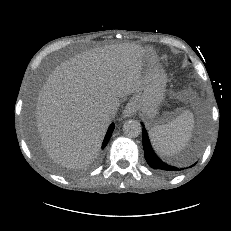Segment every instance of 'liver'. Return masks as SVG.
I'll list each match as a JSON object with an SVG mask.
<instances>
[{"label":"liver","mask_w":231,"mask_h":231,"mask_svg":"<svg viewBox=\"0 0 231 231\" xmlns=\"http://www.w3.org/2000/svg\"><path fill=\"white\" fill-rule=\"evenodd\" d=\"M146 50L135 43L86 51L56 67L36 105V126L50 158L82 168L97 156L119 98L135 93ZM113 106L114 113L105 110Z\"/></svg>","instance_id":"1"}]
</instances>
